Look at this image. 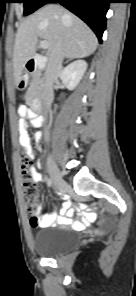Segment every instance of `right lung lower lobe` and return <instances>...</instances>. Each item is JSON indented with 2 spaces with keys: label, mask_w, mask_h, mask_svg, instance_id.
I'll return each instance as SVG.
<instances>
[{
  "label": "right lung lower lobe",
  "mask_w": 136,
  "mask_h": 296,
  "mask_svg": "<svg viewBox=\"0 0 136 296\" xmlns=\"http://www.w3.org/2000/svg\"><path fill=\"white\" fill-rule=\"evenodd\" d=\"M111 0H47L60 3L80 17L97 35L100 43L106 26V12Z\"/></svg>",
  "instance_id": "1"
}]
</instances>
